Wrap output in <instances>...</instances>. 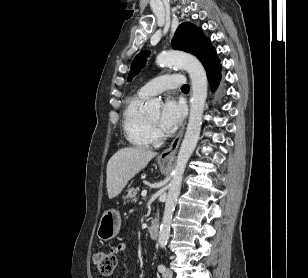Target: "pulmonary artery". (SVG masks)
<instances>
[{
	"label": "pulmonary artery",
	"instance_id": "pulmonary-artery-1",
	"mask_svg": "<svg viewBox=\"0 0 308 278\" xmlns=\"http://www.w3.org/2000/svg\"><path fill=\"white\" fill-rule=\"evenodd\" d=\"M184 83L185 78L180 74L163 75L143 85L139 89L138 94L148 98L160 94L165 90L178 88Z\"/></svg>",
	"mask_w": 308,
	"mask_h": 278
}]
</instances>
